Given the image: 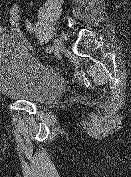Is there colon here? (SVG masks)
<instances>
[{
    "instance_id": "5ec220e1",
    "label": "colon",
    "mask_w": 131,
    "mask_h": 177,
    "mask_svg": "<svg viewBox=\"0 0 131 177\" xmlns=\"http://www.w3.org/2000/svg\"><path fill=\"white\" fill-rule=\"evenodd\" d=\"M10 34L17 38L27 49L36 52L22 26V10L18 1H11L7 10Z\"/></svg>"
}]
</instances>
